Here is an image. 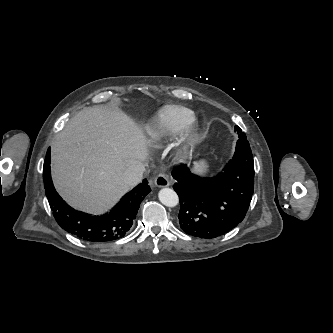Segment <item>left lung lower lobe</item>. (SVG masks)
I'll return each instance as SVG.
<instances>
[{
  "instance_id": "obj_1",
  "label": "left lung lower lobe",
  "mask_w": 333,
  "mask_h": 333,
  "mask_svg": "<svg viewBox=\"0 0 333 333\" xmlns=\"http://www.w3.org/2000/svg\"><path fill=\"white\" fill-rule=\"evenodd\" d=\"M230 162L216 176L191 173L186 165L173 169V188L180 200V227L189 235L215 238L235 228L245 217L254 191V161L242 130Z\"/></svg>"
}]
</instances>
